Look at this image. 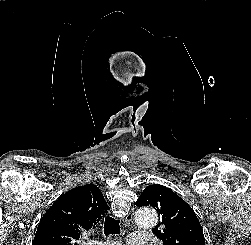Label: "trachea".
I'll return each mask as SVG.
<instances>
[{
    "label": "trachea",
    "mask_w": 251,
    "mask_h": 245,
    "mask_svg": "<svg viewBox=\"0 0 251 245\" xmlns=\"http://www.w3.org/2000/svg\"><path fill=\"white\" fill-rule=\"evenodd\" d=\"M120 233V225H119V220L107 216L105 218V223H104V234L106 236L110 234H119Z\"/></svg>",
    "instance_id": "3493384b"
}]
</instances>
